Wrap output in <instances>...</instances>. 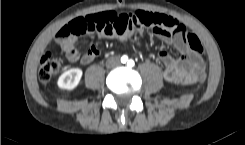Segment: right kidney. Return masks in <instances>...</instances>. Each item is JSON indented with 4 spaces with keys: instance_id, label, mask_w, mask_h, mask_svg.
<instances>
[{
    "instance_id": "right-kidney-1",
    "label": "right kidney",
    "mask_w": 245,
    "mask_h": 145,
    "mask_svg": "<svg viewBox=\"0 0 245 145\" xmlns=\"http://www.w3.org/2000/svg\"><path fill=\"white\" fill-rule=\"evenodd\" d=\"M82 70L80 68H72L64 73L58 78L57 85L60 89L72 90L78 86L81 77Z\"/></svg>"
}]
</instances>
